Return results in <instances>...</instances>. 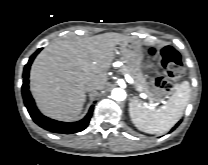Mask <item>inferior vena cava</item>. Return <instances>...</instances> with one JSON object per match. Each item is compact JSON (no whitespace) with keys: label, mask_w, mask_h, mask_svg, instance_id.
<instances>
[{"label":"inferior vena cava","mask_w":208,"mask_h":165,"mask_svg":"<svg viewBox=\"0 0 208 165\" xmlns=\"http://www.w3.org/2000/svg\"><path fill=\"white\" fill-rule=\"evenodd\" d=\"M100 87L98 85H90L87 87L88 91L99 90Z\"/></svg>","instance_id":"1"}]
</instances>
